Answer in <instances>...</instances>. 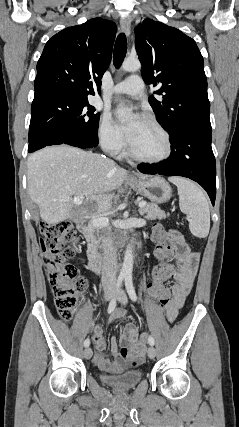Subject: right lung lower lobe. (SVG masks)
Instances as JSON below:
<instances>
[{
  "label": "right lung lower lobe",
  "instance_id": "98d812e1",
  "mask_svg": "<svg viewBox=\"0 0 239 427\" xmlns=\"http://www.w3.org/2000/svg\"><path fill=\"white\" fill-rule=\"evenodd\" d=\"M68 144V145H72V146H75V147H80V148H91V147H95L96 145H88V144H75V143H65V142H62V141H57V142H50V143H48V144H46V145H44L43 147H45V146H49V145H58V144ZM43 147H41V148H43ZM41 148H38V149H41ZM38 149H32V150H28V152L29 153H31V152H34V151H36V150H38Z\"/></svg>",
  "mask_w": 239,
  "mask_h": 427
}]
</instances>
